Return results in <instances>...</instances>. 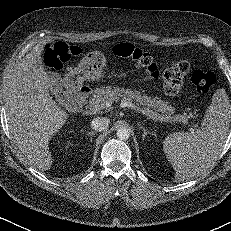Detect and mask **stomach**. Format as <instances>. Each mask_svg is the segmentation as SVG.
Segmentation results:
<instances>
[{
  "label": "stomach",
  "mask_w": 231,
  "mask_h": 231,
  "mask_svg": "<svg viewBox=\"0 0 231 231\" xmlns=\"http://www.w3.org/2000/svg\"><path fill=\"white\" fill-rule=\"evenodd\" d=\"M105 66L106 59L101 53L89 52L82 58L78 67L66 75L65 85L67 87H73L81 84L85 80H100L103 77L102 72Z\"/></svg>",
  "instance_id": "0dacf381"
}]
</instances>
